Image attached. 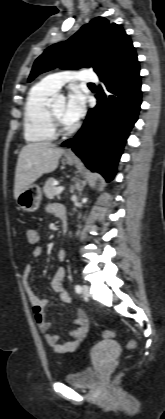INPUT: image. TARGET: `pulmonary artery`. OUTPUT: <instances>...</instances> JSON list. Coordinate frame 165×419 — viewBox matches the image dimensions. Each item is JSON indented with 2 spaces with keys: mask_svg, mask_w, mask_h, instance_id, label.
I'll return each mask as SVG.
<instances>
[{
  "mask_svg": "<svg viewBox=\"0 0 165 419\" xmlns=\"http://www.w3.org/2000/svg\"><path fill=\"white\" fill-rule=\"evenodd\" d=\"M81 81L93 83L98 81V76L93 69L83 68L79 71H61L47 75L41 81L46 87L53 91L59 90L68 81Z\"/></svg>",
  "mask_w": 165,
  "mask_h": 419,
  "instance_id": "pulmonary-artery-1",
  "label": "pulmonary artery"
}]
</instances>
